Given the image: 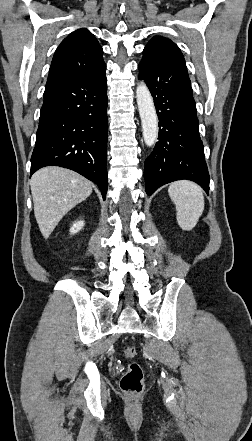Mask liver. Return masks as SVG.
<instances>
[{"label": "liver", "mask_w": 252, "mask_h": 441, "mask_svg": "<svg viewBox=\"0 0 252 441\" xmlns=\"http://www.w3.org/2000/svg\"><path fill=\"white\" fill-rule=\"evenodd\" d=\"M31 193L34 215L45 239L72 208L92 193V184L69 169L49 166L33 174Z\"/></svg>", "instance_id": "6515ba94"}]
</instances>
